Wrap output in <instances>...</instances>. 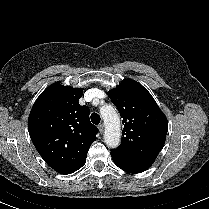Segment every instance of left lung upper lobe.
<instances>
[{
    "label": "left lung upper lobe",
    "mask_w": 209,
    "mask_h": 209,
    "mask_svg": "<svg viewBox=\"0 0 209 209\" xmlns=\"http://www.w3.org/2000/svg\"><path fill=\"white\" fill-rule=\"evenodd\" d=\"M108 96L124 124L121 145L111 153L154 163L168 131V121L154 98L140 83L130 79L109 91Z\"/></svg>",
    "instance_id": "1"
}]
</instances>
